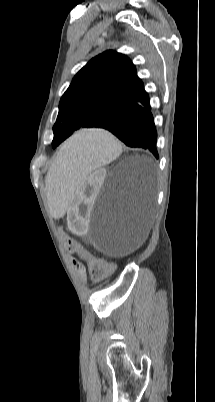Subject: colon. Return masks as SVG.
I'll list each match as a JSON object with an SVG mask.
<instances>
[{"mask_svg":"<svg viewBox=\"0 0 215 402\" xmlns=\"http://www.w3.org/2000/svg\"><path fill=\"white\" fill-rule=\"evenodd\" d=\"M57 237L60 238L62 243L67 244L65 251L68 254H78L80 260H90L92 258L91 248H86L84 245H79L77 239H71L69 233H65L61 230L64 229L63 223L57 224ZM114 270L112 263L106 262L102 259H94L91 267V273L97 280L102 279L108 273Z\"/></svg>","mask_w":215,"mask_h":402,"instance_id":"obj_1","label":"colon"}]
</instances>
